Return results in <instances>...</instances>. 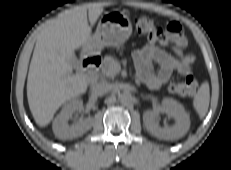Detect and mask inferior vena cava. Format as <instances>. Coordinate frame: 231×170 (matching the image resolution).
<instances>
[{"label":"inferior vena cava","mask_w":231,"mask_h":170,"mask_svg":"<svg viewBox=\"0 0 231 170\" xmlns=\"http://www.w3.org/2000/svg\"><path fill=\"white\" fill-rule=\"evenodd\" d=\"M110 89L111 85L109 83L102 82L95 85L93 91L96 95L101 96L108 93Z\"/></svg>","instance_id":"inferior-vena-cava-1"}]
</instances>
